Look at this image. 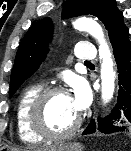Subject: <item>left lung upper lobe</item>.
I'll list each match as a JSON object with an SVG mask.
<instances>
[{
    "label": "left lung upper lobe",
    "mask_w": 131,
    "mask_h": 151,
    "mask_svg": "<svg viewBox=\"0 0 131 151\" xmlns=\"http://www.w3.org/2000/svg\"><path fill=\"white\" fill-rule=\"evenodd\" d=\"M83 14L95 15L104 23L111 43L129 34L123 23V13L116 7V0L66 1L63 9L64 18ZM52 29L51 20L43 18L35 23L24 36L11 73L9 97L14 95L20 85L38 69L45 59Z\"/></svg>",
    "instance_id": "1"
}]
</instances>
